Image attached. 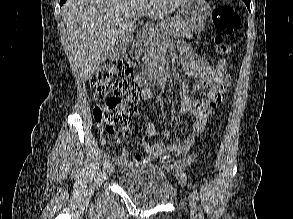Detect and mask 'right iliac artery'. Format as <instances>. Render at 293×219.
Wrapping results in <instances>:
<instances>
[{
    "label": "right iliac artery",
    "mask_w": 293,
    "mask_h": 219,
    "mask_svg": "<svg viewBox=\"0 0 293 219\" xmlns=\"http://www.w3.org/2000/svg\"><path fill=\"white\" fill-rule=\"evenodd\" d=\"M110 161V156L109 154H105L104 156V165H108Z\"/></svg>",
    "instance_id": "right-iliac-artery-1"
}]
</instances>
